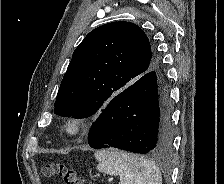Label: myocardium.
I'll list each match as a JSON object with an SVG mask.
<instances>
[{
    "mask_svg": "<svg viewBox=\"0 0 224 184\" xmlns=\"http://www.w3.org/2000/svg\"><path fill=\"white\" fill-rule=\"evenodd\" d=\"M85 131L84 121L81 117L74 116L68 119L65 125V133L70 138H78Z\"/></svg>",
    "mask_w": 224,
    "mask_h": 184,
    "instance_id": "f54148a6",
    "label": "myocardium"
}]
</instances>
